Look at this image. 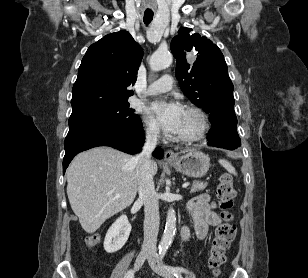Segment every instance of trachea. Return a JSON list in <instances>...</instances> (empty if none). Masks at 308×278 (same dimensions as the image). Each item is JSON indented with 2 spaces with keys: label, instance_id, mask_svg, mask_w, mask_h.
<instances>
[{
  "label": "trachea",
  "instance_id": "1",
  "mask_svg": "<svg viewBox=\"0 0 308 278\" xmlns=\"http://www.w3.org/2000/svg\"><path fill=\"white\" fill-rule=\"evenodd\" d=\"M153 19V12H144V23L148 25Z\"/></svg>",
  "mask_w": 308,
  "mask_h": 278
}]
</instances>
